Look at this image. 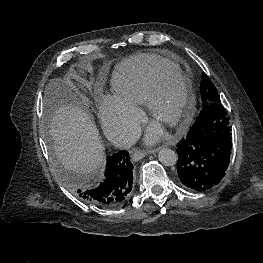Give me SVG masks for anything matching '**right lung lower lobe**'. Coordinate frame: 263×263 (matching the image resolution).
<instances>
[{
    "instance_id": "98d812e1",
    "label": "right lung lower lobe",
    "mask_w": 263,
    "mask_h": 263,
    "mask_svg": "<svg viewBox=\"0 0 263 263\" xmlns=\"http://www.w3.org/2000/svg\"><path fill=\"white\" fill-rule=\"evenodd\" d=\"M133 165L129 153L119 151L107 158L103 181L93 189L79 188V197L102 207H114L122 204L130 196L133 182Z\"/></svg>"
}]
</instances>
